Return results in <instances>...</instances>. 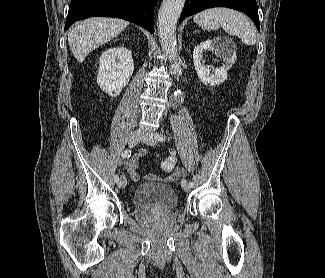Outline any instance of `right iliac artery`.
I'll list each match as a JSON object with an SVG mask.
<instances>
[{"mask_svg": "<svg viewBox=\"0 0 325 278\" xmlns=\"http://www.w3.org/2000/svg\"><path fill=\"white\" fill-rule=\"evenodd\" d=\"M131 156V150H125L123 153H122V158H129ZM114 181L115 182H118L119 181V177L117 175L114 176Z\"/></svg>", "mask_w": 325, "mask_h": 278, "instance_id": "right-iliac-artery-1", "label": "right iliac artery"}]
</instances>
